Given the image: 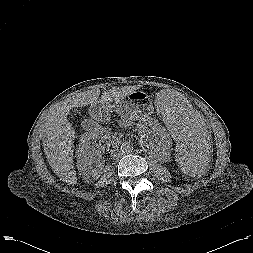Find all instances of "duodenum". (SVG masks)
<instances>
[{
	"mask_svg": "<svg viewBox=\"0 0 253 253\" xmlns=\"http://www.w3.org/2000/svg\"><path fill=\"white\" fill-rule=\"evenodd\" d=\"M105 111H106V107H104L101 104H97L92 107V113L97 114L99 117H101L105 113ZM93 128L94 126L86 127L87 130H92Z\"/></svg>",
	"mask_w": 253,
	"mask_h": 253,
	"instance_id": "obj_1",
	"label": "duodenum"
}]
</instances>
